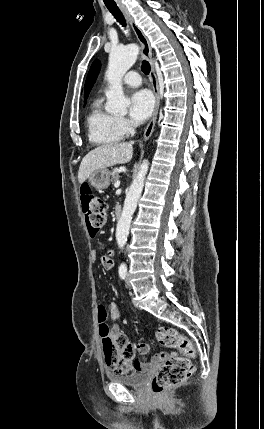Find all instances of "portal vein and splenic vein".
Segmentation results:
<instances>
[{"label": "portal vein and splenic vein", "mask_w": 264, "mask_h": 429, "mask_svg": "<svg viewBox=\"0 0 264 429\" xmlns=\"http://www.w3.org/2000/svg\"><path fill=\"white\" fill-rule=\"evenodd\" d=\"M114 186H115L116 188H118V187L120 186V181H116V183L114 184Z\"/></svg>", "instance_id": "1"}]
</instances>
